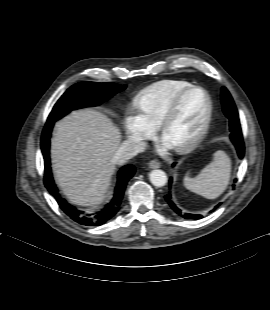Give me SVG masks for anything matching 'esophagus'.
<instances>
[{
	"instance_id": "obj_1",
	"label": "esophagus",
	"mask_w": 270,
	"mask_h": 310,
	"mask_svg": "<svg viewBox=\"0 0 270 310\" xmlns=\"http://www.w3.org/2000/svg\"><path fill=\"white\" fill-rule=\"evenodd\" d=\"M148 166L151 169L160 168L161 163L159 161H157V160H152V161L149 162Z\"/></svg>"
}]
</instances>
